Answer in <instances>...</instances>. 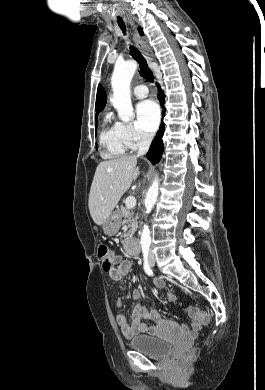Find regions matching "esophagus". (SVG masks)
<instances>
[{"mask_svg":"<svg viewBox=\"0 0 265 390\" xmlns=\"http://www.w3.org/2000/svg\"><path fill=\"white\" fill-rule=\"evenodd\" d=\"M129 23L131 26L133 25V22L130 20ZM133 40L135 42V45L140 50V52L143 54V56L146 58V60L150 63L152 61V58L149 54V47L144 41L143 37H141L138 32L135 30L133 34Z\"/></svg>","mask_w":265,"mask_h":390,"instance_id":"obj_1","label":"esophagus"}]
</instances>
